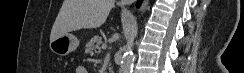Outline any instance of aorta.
<instances>
[{"label": "aorta", "instance_id": "aorta-1", "mask_svg": "<svg viewBox=\"0 0 244 73\" xmlns=\"http://www.w3.org/2000/svg\"><path fill=\"white\" fill-rule=\"evenodd\" d=\"M149 1L145 0L140 7V11L144 13L148 9ZM133 61H134V55L132 52V48L130 45L127 46V49L122 57L121 62V73H132V67H133Z\"/></svg>", "mask_w": 244, "mask_h": 73}]
</instances>
